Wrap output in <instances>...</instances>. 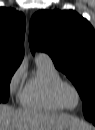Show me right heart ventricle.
Returning a JSON list of instances; mask_svg holds the SVG:
<instances>
[{
	"mask_svg": "<svg viewBox=\"0 0 95 130\" xmlns=\"http://www.w3.org/2000/svg\"><path fill=\"white\" fill-rule=\"evenodd\" d=\"M62 78L51 60L36 59V71L28 78L20 95L23 107L62 111L54 88Z\"/></svg>",
	"mask_w": 95,
	"mask_h": 130,
	"instance_id": "1",
	"label": "right heart ventricle"
}]
</instances>
